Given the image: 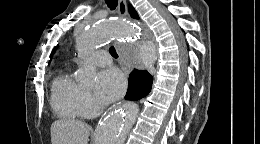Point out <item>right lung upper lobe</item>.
<instances>
[{"label": "right lung upper lobe", "mask_w": 260, "mask_h": 144, "mask_svg": "<svg viewBox=\"0 0 260 144\" xmlns=\"http://www.w3.org/2000/svg\"><path fill=\"white\" fill-rule=\"evenodd\" d=\"M128 9H129V13H130L132 18L139 19L137 12L135 11V9L131 5H129ZM52 54H53V52H52Z\"/></svg>", "instance_id": "1"}]
</instances>
